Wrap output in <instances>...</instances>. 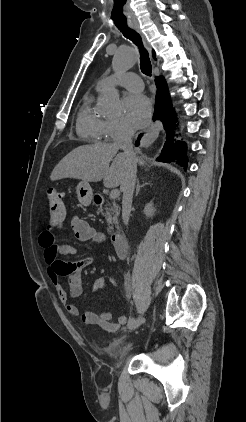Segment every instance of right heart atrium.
<instances>
[{"mask_svg":"<svg viewBox=\"0 0 246 422\" xmlns=\"http://www.w3.org/2000/svg\"><path fill=\"white\" fill-rule=\"evenodd\" d=\"M131 132V129L121 121L105 120L103 137L106 140L113 141L129 135Z\"/></svg>","mask_w":246,"mask_h":422,"instance_id":"right-heart-atrium-1","label":"right heart atrium"}]
</instances>
